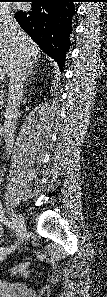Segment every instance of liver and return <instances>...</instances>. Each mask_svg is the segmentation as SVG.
Wrapping results in <instances>:
<instances>
[{
    "instance_id": "obj_1",
    "label": "liver",
    "mask_w": 107,
    "mask_h": 297,
    "mask_svg": "<svg viewBox=\"0 0 107 297\" xmlns=\"http://www.w3.org/2000/svg\"><path fill=\"white\" fill-rule=\"evenodd\" d=\"M24 50L33 61L40 55L36 43L21 29L17 37L9 36L0 30V75H9L10 69L18 55L19 50Z\"/></svg>"
}]
</instances>
